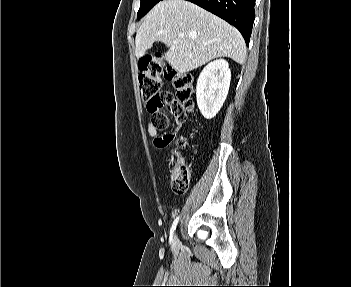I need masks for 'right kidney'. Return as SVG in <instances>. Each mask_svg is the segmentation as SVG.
<instances>
[{"mask_svg":"<svg viewBox=\"0 0 351 287\" xmlns=\"http://www.w3.org/2000/svg\"><path fill=\"white\" fill-rule=\"evenodd\" d=\"M231 80L229 64L217 59L204 67L196 86L197 105L206 119H212L223 106Z\"/></svg>","mask_w":351,"mask_h":287,"instance_id":"right-kidney-1","label":"right kidney"}]
</instances>
